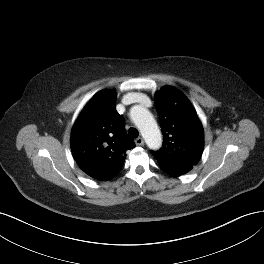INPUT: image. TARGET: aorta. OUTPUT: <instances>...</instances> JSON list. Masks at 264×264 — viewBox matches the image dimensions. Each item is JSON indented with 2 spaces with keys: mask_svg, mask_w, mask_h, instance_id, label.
Returning <instances> with one entry per match:
<instances>
[{
  "mask_svg": "<svg viewBox=\"0 0 264 264\" xmlns=\"http://www.w3.org/2000/svg\"><path fill=\"white\" fill-rule=\"evenodd\" d=\"M130 114L148 147L158 149L162 144V136L152 114L140 105L132 107Z\"/></svg>",
  "mask_w": 264,
  "mask_h": 264,
  "instance_id": "762f6f07",
  "label": "aorta"
}]
</instances>
